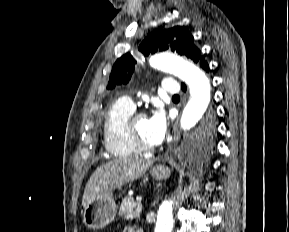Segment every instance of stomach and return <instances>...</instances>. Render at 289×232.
<instances>
[{
	"instance_id": "stomach-1",
	"label": "stomach",
	"mask_w": 289,
	"mask_h": 232,
	"mask_svg": "<svg viewBox=\"0 0 289 232\" xmlns=\"http://www.w3.org/2000/svg\"><path fill=\"white\" fill-rule=\"evenodd\" d=\"M151 176L156 180L169 178L170 169L158 165L151 169ZM117 205L112 194H106L90 202L83 212V223L89 229H102L109 225L115 217Z\"/></svg>"
}]
</instances>
